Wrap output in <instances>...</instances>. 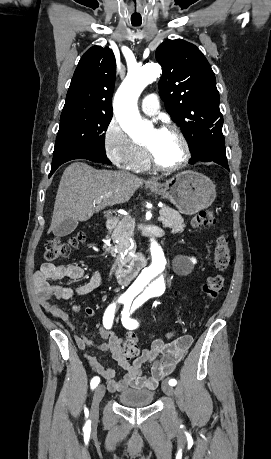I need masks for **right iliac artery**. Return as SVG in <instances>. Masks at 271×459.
<instances>
[{
	"label": "right iliac artery",
	"instance_id": "obj_1",
	"mask_svg": "<svg viewBox=\"0 0 271 459\" xmlns=\"http://www.w3.org/2000/svg\"><path fill=\"white\" fill-rule=\"evenodd\" d=\"M119 303H124V304H127V305H130L131 304V301H128V300H124V299H119L118 300ZM115 308H116V304L113 303V304H110L108 306V308L106 309L105 313H104V316H103V325L106 329H111L112 327V323H113V319H114V312H115ZM100 382V378L98 376L94 377L92 380H91V389H94L98 386Z\"/></svg>",
	"mask_w": 271,
	"mask_h": 459
}]
</instances>
